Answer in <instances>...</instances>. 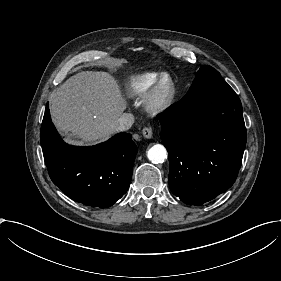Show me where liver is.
Wrapping results in <instances>:
<instances>
[{
    "instance_id": "obj_1",
    "label": "liver",
    "mask_w": 281,
    "mask_h": 281,
    "mask_svg": "<svg viewBox=\"0 0 281 281\" xmlns=\"http://www.w3.org/2000/svg\"><path fill=\"white\" fill-rule=\"evenodd\" d=\"M118 79L108 71H81L68 78L50 96V117L61 136L69 133L76 145L108 141L113 123L128 108Z\"/></svg>"
}]
</instances>
